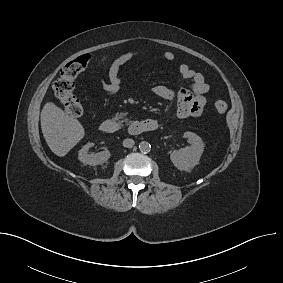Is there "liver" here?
I'll return each instance as SVG.
<instances>
[{"instance_id": "obj_1", "label": "liver", "mask_w": 283, "mask_h": 283, "mask_svg": "<svg viewBox=\"0 0 283 283\" xmlns=\"http://www.w3.org/2000/svg\"><path fill=\"white\" fill-rule=\"evenodd\" d=\"M41 129L51 151L64 157L85 135L81 123L53 102L41 111Z\"/></svg>"}]
</instances>
